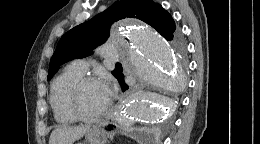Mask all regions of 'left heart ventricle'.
<instances>
[{
	"label": "left heart ventricle",
	"mask_w": 260,
	"mask_h": 144,
	"mask_svg": "<svg viewBox=\"0 0 260 144\" xmlns=\"http://www.w3.org/2000/svg\"><path fill=\"white\" fill-rule=\"evenodd\" d=\"M108 104L99 82L87 84L79 99L81 110L87 115H95Z\"/></svg>",
	"instance_id": "left-heart-ventricle-1"
}]
</instances>
